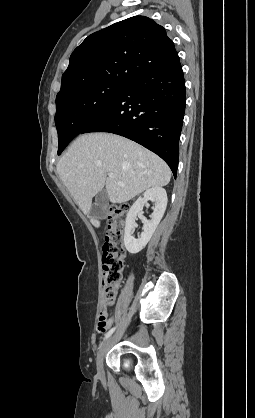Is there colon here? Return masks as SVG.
<instances>
[{
	"mask_svg": "<svg viewBox=\"0 0 255 418\" xmlns=\"http://www.w3.org/2000/svg\"><path fill=\"white\" fill-rule=\"evenodd\" d=\"M129 212L125 203L110 205L106 212L108 224L106 226V239L102 247V285L104 297L112 303L116 295V285L120 282L124 270L126 251L124 248V231ZM107 317L100 313L98 329L106 326Z\"/></svg>",
	"mask_w": 255,
	"mask_h": 418,
	"instance_id": "1",
	"label": "colon"
}]
</instances>
